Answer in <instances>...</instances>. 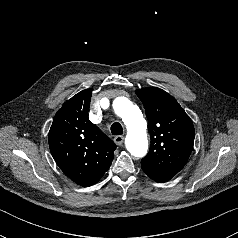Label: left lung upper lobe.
Returning a JSON list of instances; mask_svg holds the SVG:
<instances>
[{"mask_svg":"<svg viewBox=\"0 0 238 238\" xmlns=\"http://www.w3.org/2000/svg\"><path fill=\"white\" fill-rule=\"evenodd\" d=\"M144 105L151 136L148 154L141 167L173 177L186 164L194 144L190 117L174 97L156 87L135 91Z\"/></svg>","mask_w":238,"mask_h":238,"instance_id":"left-lung-upper-lobe-1","label":"left lung upper lobe"}]
</instances>
